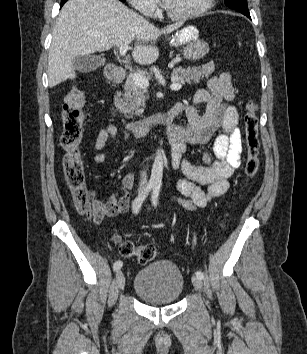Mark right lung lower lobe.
<instances>
[{"label":"right lung lower lobe","instance_id":"1","mask_svg":"<svg viewBox=\"0 0 307 354\" xmlns=\"http://www.w3.org/2000/svg\"><path fill=\"white\" fill-rule=\"evenodd\" d=\"M67 0H61V7L64 5V3L66 2Z\"/></svg>","mask_w":307,"mask_h":354}]
</instances>
